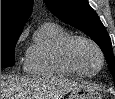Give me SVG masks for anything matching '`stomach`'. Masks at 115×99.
<instances>
[{
	"label": "stomach",
	"mask_w": 115,
	"mask_h": 99,
	"mask_svg": "<svg viewBox=\"0 0 115 99\" xmlns=\"http://www.w3.org/2000/svg\"><path fill=\"white\" fill-rule=\"evenodd\" d=\"M68 99H101V96L93 88L84 85L73 90Z\"/></svg>",
	"instance_id": "0dacf381"
}]
</instances>
